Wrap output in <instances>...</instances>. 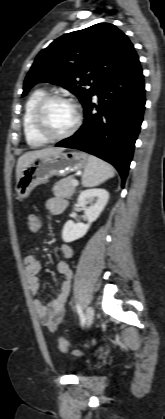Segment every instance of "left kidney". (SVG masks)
<instances>
[{
    "label": "left kidney",
    "instance_id": "1",
    "mask_svg": "<svg viewBox=\"0 0 165 419\" xmlns=\"http://www.w3.org/2000/svg\"><path fill=\"white\" fill-rule=\"evenodd\" d=\"M109 200V193L102 188L87 189L80 193L76 207L84 211L87 224L75 223L69 220L62 230L64 242H72L82 238L89 230L91 224L97 220ZM89 204V206H87Z\"/></svg>",
    "mask_w": 165,
    "mask_h": 419
}]
</instances>
